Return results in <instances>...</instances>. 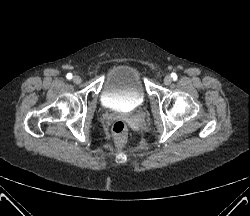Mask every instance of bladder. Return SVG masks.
Instances as JSON below:
<instances>
[{
  "mask_svg": "<svg viewBox=\"0 0 250 216\" xmlns=\"http://www.w3.org/2000/svg\"><path fill=\"white\" fill-rule=\"evenodd\" d=\"M146 97L139 71L127 64L115 66L107 75L101 91L102 104L113 110L131 111L141 106Z\"/></svg>",
  "mask_w": 250,
  "mask_h": 216,
  "instance_id": "1",
  "label": "bladder"
}]
</instances>
